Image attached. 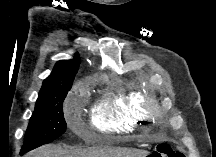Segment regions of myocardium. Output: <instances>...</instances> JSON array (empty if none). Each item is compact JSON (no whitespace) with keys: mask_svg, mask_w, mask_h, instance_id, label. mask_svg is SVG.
<instances>
[{"mask_svg":"<svg viewBox=\"0 0 216 157\" xmlns=\"http://www.w3.org/2000/svg\"><path fill=\"white\" fill-rule=\"evenodd\" d=\"M141 108L143 112L149 115H155L158 110L157 102L153 98L143 100L141 103Z\"/></svg>","mask_w":216,"mask_h":157,"instance_id":"f54148a6","label":"myocardium"}]
</instances>
